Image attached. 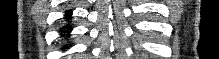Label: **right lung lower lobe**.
<instances>
[{
	"label": "right lung lower lobe",
	"mask_w": 219,
	"mask_h": 59,
	"mask_svg": "<svg viewBox=\"0 0 219 59\" xmlns=\"http://www.w3.org/2000/svg\"><path fill=\"white\" fill-rule=\"evenodd\" d=\"M70 15H71V12L67 11L65 16L67 19H70ZM68 30H71V27H69ZM63 32H67V31L64 30Z\"/></svg>",
	"instance_id": "1"
}]
</instances>
